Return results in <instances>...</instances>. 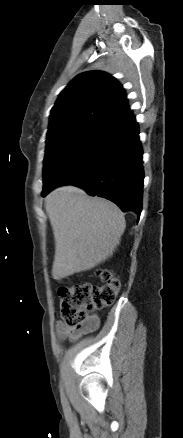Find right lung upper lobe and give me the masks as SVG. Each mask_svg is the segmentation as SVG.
<instances>
[{
	"label": "right lung upper lobe",
	"mask_w": 183,
	"mask_h": 438,
	"mask_svg": "<svg viewBox=\"0 0 183 438\" xmlns=\"http://www.w3.org/2000/svg\"><path fill=\"white\" fill-rule=\"evenodd\" d=\"M128 111L124 89L115 78L101 71L85 72L60 93L48 133L77 126L99 128Z\"/></svg>",
	"instance_id": "obj_1"
}]
</instances>
